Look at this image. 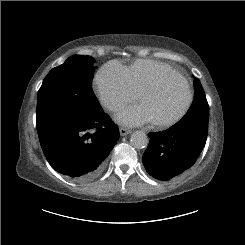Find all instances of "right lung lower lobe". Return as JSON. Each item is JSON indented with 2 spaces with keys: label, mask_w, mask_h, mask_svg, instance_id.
Segmentation results:
<instances>
[{
  "label": "right lung lower lobe",
  "mask_w": 245,
  "mask_h": 245,
  "mask_svg": "<svg viewBox=\"0 0 245 245\" xmlns=\"http://www.w3.org/2000/svg\"><path fill=\"white\" fill-rule=\"evenodd\" d=\"M38 135L44 155L56 171L76 181H89L104 169L119 130L100 110L90 116L64 118Z\"/></svg>",
  "instance_id": "98d812e1"
}]
</instances>
